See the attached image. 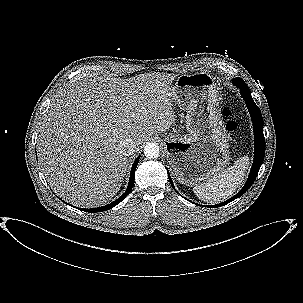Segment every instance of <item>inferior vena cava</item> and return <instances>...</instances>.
Instances as JSON below:
<instances>
[{"mask_svg":"<svg viewBox=\"0 0 303 303\" xmlns=\"http://www.w3.org/2000/svg\"><path fill=\"white\" fill-rule=\"evenodd\" d=\"M120 148L123 154L130 156L136 150V142L131 138H126L120 143Z\"/></svg>","mask_w":303,"mask_h":303,"instance_id":"inferior-vena-cava-1","label":"inferior vena cava"}]
</instances>
